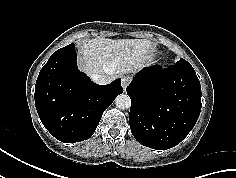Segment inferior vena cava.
<instances>
[{
    "mask_svg": "<svg viewBox=\"0 0 236 178\" xmlns=\"http://www.w3.org/2000/svg\"><path fill=\"white\" fill-rule=\"evenodd\" d=\"M92 80L99 85H106L112 82L113 78L106 74H93Z\"/></svg>",
    "mask_w": 236,
    "mask_h": 178,
    "instance_id": "1",
    "label": "inferior vena cava"
}]
</instances>
